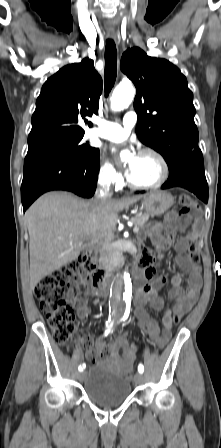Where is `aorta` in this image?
Segmentation results:
<instances>
[{"label": "aorta", "instance_id": "762f6f07", "mask_svg": "<svg viewBox=\"0 0 221 448\" xmlns=\"http://www.w3.org/2000/svg\"><path fill=\"white\" fill-rule=\"evenodd\" d=\"M135 90L131 83L129 82H123L120 83L114 90L112 97H111V109L113 111H121L128 107L131 102L134 99ZM127 156L126 151H122L120 154V157L122 160L125 159ZM125 285L126 282L128 283L130 281V276L128 273H125L124 275ZM125 294V288L123 282H118L113 287V297L117 300L118 307L120 308L122 306V299Z\"/></svg>", "mask_w": 221, "mask_h": 448}]
</instances>
